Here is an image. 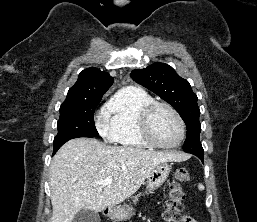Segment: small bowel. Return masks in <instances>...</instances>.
Here are the masks:
<instances>
[{"label":"small bowel","instance_id":"obj_1","mask_svg":"<svg viewBox=\"0 0 257 222\" xmlns=\"http://www.w3.org/2000/svg\"><path fill=\"white\" fill-rule=\"evenodd\" d=\"M181 222H197V221L193 217L186 215L182 218Z\"/></svg>","mask_w":257,"mask_h":222}]
</instances>
